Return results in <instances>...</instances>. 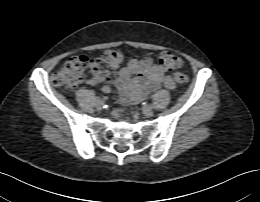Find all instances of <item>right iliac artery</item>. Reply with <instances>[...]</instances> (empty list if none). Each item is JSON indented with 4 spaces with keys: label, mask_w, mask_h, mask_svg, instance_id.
I'll list each match as a JSON object with an SVG mask.
<instances>
[{
    "label": "right iliac artery",
    "mask_w": 260,
    "mask_h": 202,
    "mask_svg": "<svg viewBox=\"0 0 260 202\" xmlns=\"http://www.w3.org/2000/svg\"><path fill=\"white\" fill-rule=\"evenodd\" d=\"M100 100H102V98L101 97H97V101H100Z\"/></svg>",
    "instance_id": "1"
}]
</instances>
